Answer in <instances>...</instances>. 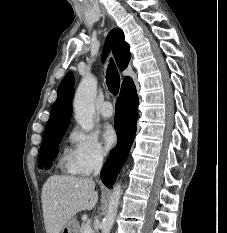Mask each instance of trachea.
I'll list each match as a JSON object with an SVG mask.
<instances>
[{"label":"trachea","mask_w":227,"mask_h":233,"mask_svg":"<svg viewBox=\"0 0 227 233\" xmlns=\"http://www.w3.org/2000/svg\"><path fill=\"white\" fill-rule=\"evenodd\" d=\"M106 73V84L108 90L114 95L118 94L120 86V75L112 59Z\"/></svg>","instance_id":"trachea-1"}]
</instances>
